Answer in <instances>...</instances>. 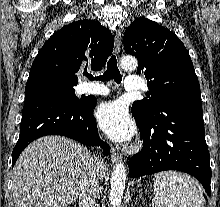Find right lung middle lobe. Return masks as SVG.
Segmentation results:
<instances>
[{
	"label": "right lung middle lobe",
	"mask_w": 220,
	"mask_h": 207,
	"mask_svg": "<svg viewBox=\"0 0 220 207\" xmlns=\"http://www.w3.org/2000/svg\"><path fill=\"white\" fill-rule=\"evenodd\" d=\"M37 82L44 83V84H47V85H50V86H53V87H56V88L62 90L64 92V94L76 104L83 103L85 100V99H79L75 95V90L73 88L75 86V84L65 83L63 81L56 80V79H44V80H40Z\"/></svg>",
	"instance_id": "1"
}]
</instances>
